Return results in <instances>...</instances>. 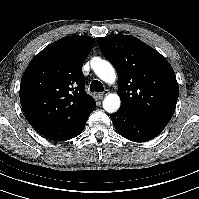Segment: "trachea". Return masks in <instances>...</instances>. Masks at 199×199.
Masks as SVG:
<instances>
[{"mask_svg": "<svg viewBox=\"0 0 199 199\" xmlns=\"http://www.w3.org/2000/svg\"><path fill=\"white\" fill-rule=\"evenodd\" d=\"M90 90L92 92H103L104 87H103V84L100 81L94 80L90 84Z\"/></svg>", "mask_w": 199, "mask_h": 199, "instance_id": "1", "label": "trachea"}]
</instances>
